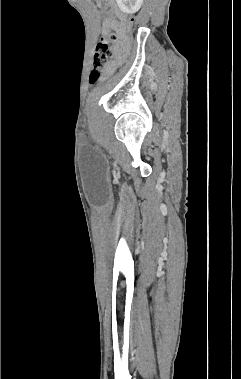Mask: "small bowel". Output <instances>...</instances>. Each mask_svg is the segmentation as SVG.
I'll return each instance as SVG.
<instances>
[{
  "label": "small bowel",
  "mask_w": 241,
  "mask_h": 379,
  "mask_svg": "<svg viewBox=\"0 0 241 379\" xmlns=\"http://www.w3.org/2000/svg\"><path fill=\"white\" fill-rule=\"evenodd\" d=\"M126 19L123 15L119 16V21L113 19H106L103 23L102 33L106 35L110 30H117L122 36L125 35ZM118 53L123 51V47L118 48ZM114 68V64H110L106 70L107 73L111 72Z\"/></svg>",
  "instance_id": "1"
}]
</instances>
